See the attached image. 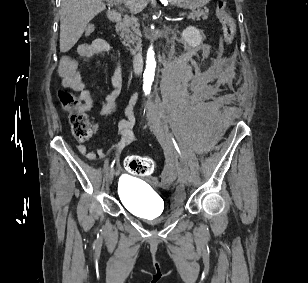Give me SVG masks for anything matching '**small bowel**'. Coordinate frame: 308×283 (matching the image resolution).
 Segmentation results:
<instances>
[{
  "label": "small bowel",
  "instance_id": "1",
  "mask_svg": "<svg viewBox=\"0 0 308 283\" xmlns=\"http://www.w3.org/2000/svg\"><path fill=\"white\" fill-rule=\"evenodd\" d=\"M110 50L108 42L104 39H96L91 44H82L78 47V53L81 57L89 58L97 54L106 53ZM59 76L61 78L64 87L69 88L79 93V99L82 102L83 111H88L94 106V98L91 93L86 89L84 82L81 79L79 66L77 61L70 57H64L61 59L59 65ZM112 91L101 102L99 112L102 116H110L117 108V100L121 94L122 87V73L118 68L112 77ZM136 95H134L126 109L125 119L118 123V131L121 135L120 142L114 147L113 152H119L132 142L136 137L132 128L135 124V117L133 109L136 102ZM77 149L81 155L88 160H94L97 157L104 158L109 152L104 151L102 148H96L91 150L84 141H79Z\"/></svg>",
  "mask_w": 308,
  "mask_h": 283
}]
</instances>
